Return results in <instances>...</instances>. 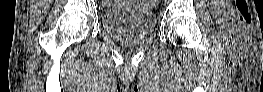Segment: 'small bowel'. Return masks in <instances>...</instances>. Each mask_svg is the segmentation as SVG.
Segmentation results:
<instances>
[{
  "label": "small bowel",
  "instance_id": "c3829d8e",
  "mask_svg": "<svg viewBox=\"0 0 263 92\" xmlns=\"http://www.w3.org/2000/svg\"><path fill=\"white\" fill-rule=\"evenodd\" d=\"M148 5H149V4H147V3H146V4H144V6H145L144 8H147V6H148Z\"/></svg>",
  "mask_w": 263,
  "mask_h": 92
}]
</instances>
